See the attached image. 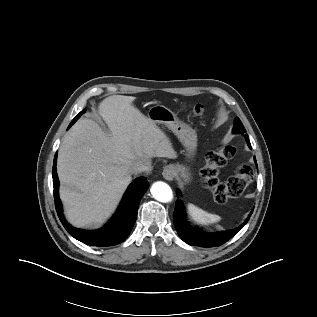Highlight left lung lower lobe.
<instances>
[{"mask_svg":"<svg viewBox=\"0 0 317 317\" xmlns=\"http://www.w3.org/2000/svg\"><path fill=\"white\" fill-rule=\"evenodd\" d=\"M247 144L251 148L249 140H247ZM254 161L257 164L255 157ZM252 213L253 210L250 212L248 218H246L245 222L240 227L219 233H207L189 224V222L186 220L183 203L180 199H178L173 215V221L179 236L187 244L199 247H218L235 236L248 222Z\"/></svg>","mask_w":317,"mask_h":317,"instance_id":"obj_1","label":"left lung lower lobe"}]
</instances>
